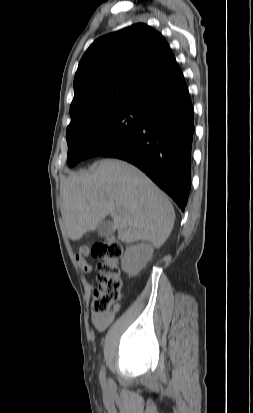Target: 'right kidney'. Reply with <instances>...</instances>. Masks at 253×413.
<instances>
[{
  "label": "right kidney",
  "instance_id": "obj_1",
  "mask_svg": "<svg viewBox=\"0 0 253 413\" xmlns=\"http://www.w3.org/2000/svg\"><path fill=\"white\" fill-rule=\"evenodd\" d=\"M153 247L148 243H140L126 248L121 257V267L129 276L137 275L151 259Z\"/></svg>",
  "mask_w": 253,
  "mask_h": 413
}]
</instances>
